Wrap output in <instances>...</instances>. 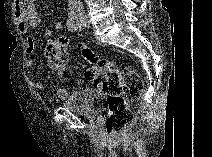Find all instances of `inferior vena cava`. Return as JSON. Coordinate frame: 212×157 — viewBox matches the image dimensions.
<instances>
[{
    "label": "inferior vena cava",
    "instance_id": "1",
    "mask_svg": "<svg viewBox=\"0 0 212 157\" xmlns=\"http://www.w3.org/2000/svg\"><path fill=\"white\" fill-rule=\"evenodd\" d=\"M76 7H77L78 10H82L83 9L82 1L78 0Z\"/></svg>",
    "mask_w": 212,
    "mask_h": 157
}]
</instances>
